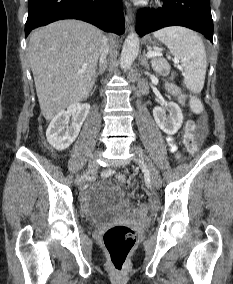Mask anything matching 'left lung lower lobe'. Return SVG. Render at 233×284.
<instances>
[{
    "instance_id": "0a47b994",
    "label": "left lung lower lobe",
    "mask_w": 233,
    "mask_h": 284,
    "mask_svg": "<svg viewBox=\"0 0 233 284\" xmlns=\"http://www.w3.org/2000/svg\"><path fill=\"white\" fill-rule=\"evenodd\" d=\"M174 25L201 32L213 42L210 0H164L162 8L137 12L136 31L140 36Z\"/></svg>"
}]
</instances>
